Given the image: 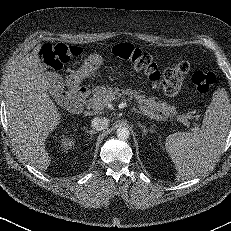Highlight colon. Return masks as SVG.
Returning a JSON list of instances; mask_svg holds the SVG:
<instances>
[{"instance_id": "5ec220e1", "label": "colon", "mask_w": 231, "mask_h": 231, "mask_svg": "<svg viewBox=\"0 0 231 231\" xmlns=\"http://www.w3.org/2000/svg\"><path fill=\"white\" fill-rule=\"evenodd\" d=\"M81 53L82 50L79 47L64 43L45 44L41 50L45 64L54 70H60L65 63L80 56ZM112 53L119 59L130 63L135 70L145 74L150 81L160 83L168 95H175L180 91L184 77L190 69L187 61H179L161 73L148 53L129 43L116 44L112 48ZM191 81L197 92L205 94L214 84L215 75L212 72L199 70L193 73ZM53 93L62 99L60 87H55Z\"/></svg>"}]
</instances>
